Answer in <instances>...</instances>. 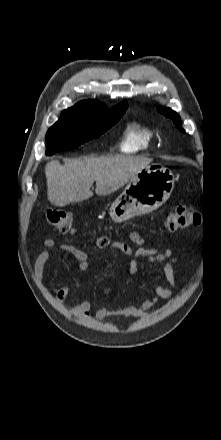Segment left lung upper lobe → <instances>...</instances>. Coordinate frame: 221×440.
Here are the masks:
<instances>
[{"label":"left lung upper lobe","instance_id":"left-lung-upper-lobe-1","mask_svg":"<svg viewBox=\"0 0 221 440\" xmlns=\"http://www.w3.org/2000/svg\"><path fill=\"white\" fill-rule=\"evenodd\" d=\"M159 111L164 114V116L171 118L174 122V124L176 125L177 128H179L182 132H185L182 128H181V121H180V116L173 110H171L170 108H159Z\"/></svg>","mask_w":221,"mask_h":440}]
</instances>
